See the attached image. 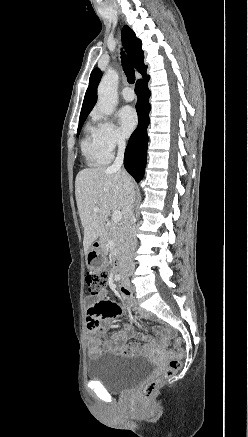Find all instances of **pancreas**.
<instances>
[{
	"label": "pancreas",
	"instance_id": "pancreas-1",
	"mask_svg": "<svg viewBox=\"0 0 248 437\" xmlns=\"http://www.w3.org/2000/svg\"><path fill=\"white\" fill-rule=\"evenodd\" d=\"M109 240H112L114 242L113 251L114 253H116L122 241V226L120 224L110 223L107 225L103 232L104 245H107Z\"/></svg>",
	"mask_w": 248,
	"mask_h": 437
}]
</instances>
